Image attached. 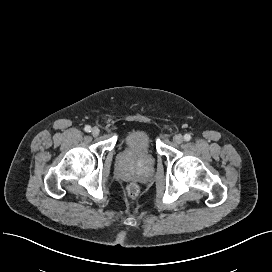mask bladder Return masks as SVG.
<instances>
[{
	"label": "bladder",
	"mask_w": 272,
	"mask_h": 272,
	"mask_svg": "<svg viewBox=\"0 0 272 272\" xmlns=\"http://www.w3.org/2000/svg\"><path fill=\"white\" fill-rule=\"evenodd\" d=\"M125 143L133 148H152L153 139L151 132L143 127L130 130L124 137Z\"/></svg>",
	"instance_id": "31cf9c89"
}]
</instances>
